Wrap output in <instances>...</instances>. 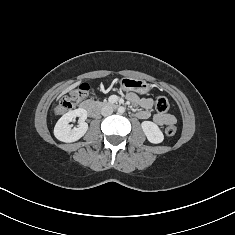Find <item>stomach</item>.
<instances>
[{
    "label": "stomach",
    "instance_id": "obj_1",
    "mask_svg": "<svg viewBox=\"0 0 235 235\" xmlns=\"http://www.w3.org/2000/svg\"><path fill=\"white\" fill-rule=\"evenodd\" d=\"M121 89L124 91H134L138 94H146L150 91V84L145 80L123 77L119 81Z\"/></svg>",
    "mask_w": 235,
    "mask_h": 235
}]
</instances>
